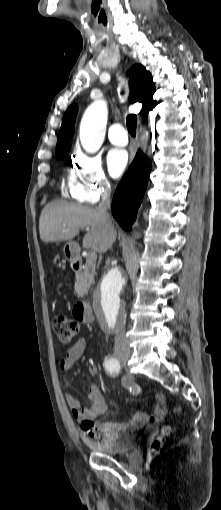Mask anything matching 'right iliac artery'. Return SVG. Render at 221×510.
I'll return each instance as SVG.
<instances>
[{
	"mask_svg": "<svg viewBox=\"0 0 221 510\" xmlns=\"http://www.w3.org/2000/svg\"><path fill=\"white\" fill-rule=\"evenodd\" d=\"M104 366H105V369L110 373V374H118L119 371H120V363L118 362V360L114 357H108L105 359V362H104Z\"/></svg>",
	"mask_w": 221,
	"mask_h": 510,
	"instance_id": "right-iliac-artery-1",
	"label": "right iliac artery"
}]
</instances>
